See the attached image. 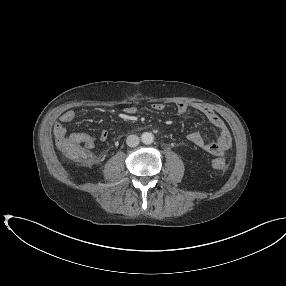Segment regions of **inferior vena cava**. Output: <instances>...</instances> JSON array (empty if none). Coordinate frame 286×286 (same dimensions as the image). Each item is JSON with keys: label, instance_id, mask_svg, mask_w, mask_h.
Segmentation results:
<instances>
[{"label": "inferior vena cava", "instance_id": "1", "mask_svg": "<svg viewBox=\"0 0 286 286\" xmlns=\"http://www.w3.org/2000/svg\"><path fill=\"white\" fill-rule=\"evenodd\" d=\"M126 143L129 147H136L139 144V137L136 135H129L126 139Z\"/></svg>", "mask_w": 286, "mask_h": 286}]
</instances>
